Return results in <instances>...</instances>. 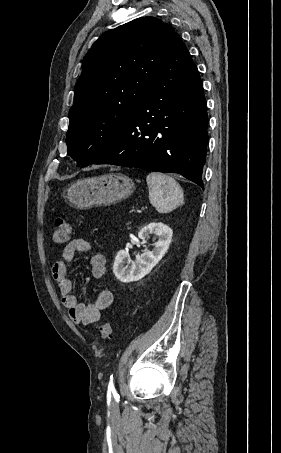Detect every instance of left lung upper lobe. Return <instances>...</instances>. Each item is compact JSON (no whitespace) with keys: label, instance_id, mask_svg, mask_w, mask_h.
I'll list each match as a JSON object with an SVG mask.
<instances>
[{"label":"left lung upper lobe","instance_id":"left-lung-upper-lobe-1","mask_svg":"<svg viewBox=\"0 0 281 453\" xmlns=\"http://www.w3.org/2000/svg\"><path fill=\"white\" fill-rule=\"evenodd\" d=\"M176 37L167 23L141 17L94 42L75 86L66 134L67 155L81 167L97 160L123 131L167 61Z\"/></svg>","mask_w":281,"mask_h":453}]
</instances>
